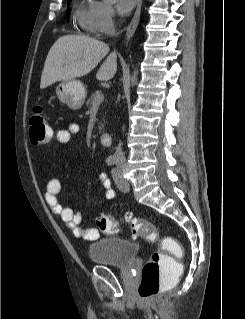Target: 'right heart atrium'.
Masks as SVG:
<instances>
[{
  "label": "right heart atrium",
  "instance_id": "obj_1",
  "mask_svg": "<svg viewBox=\"0 0 245 319\" xmlns=\"http://www.w3.org/2000/svg\"><path fill=\"white\" fill-rule=\"evenodd\" d=\"M115 28V13L109 4L96 1L93 2V20L90 31L94 33L107 34Z\"/></svg>",
  "mask_w": 245,
  "mask_h": 319
}]
</instances>
